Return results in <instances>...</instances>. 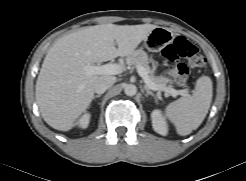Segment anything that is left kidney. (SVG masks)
<instances>
[{"label":"left kidney","mask_w":246,"mask_h":181,"mask_svg":"<svg viewBox=\"0 0 246 181\" xmlns=\"http://www.w3.org/2000/svg\"><path fill=\"white\" fill-rule=\"evenodd\" d=\"M151 119H152L153 129L161 135H164V136L167 135L168 125H167V122H166L165 118L163 117L161 111L160 110H154L151 113Z\"/></svg>","instance_id":"obj_1"}]
</instances>
